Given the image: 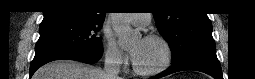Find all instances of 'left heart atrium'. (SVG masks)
Segmentation results:
<instances>
[{
  "label": "left heart atrium",
  "instance_id": "left-heart-atrium-1",
  "mask_svg": "<svg viewBox=\"0 0 255 79\" xmlns=\"http://www.w3.org/2000/svg\"><path fill=\"white\" fill-rule=\"evenodd\" d=\"M136 56H137V50L132 51V57H133V60L136 58Z\"/></svg>",
  "mask_w": 255,
  "mask_h": 79
}]
</instances>
